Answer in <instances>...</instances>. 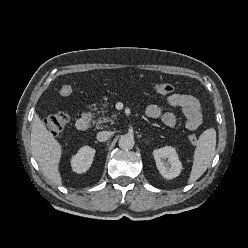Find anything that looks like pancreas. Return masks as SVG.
I'll return each mask as SVG.
<instances>
[{"instance_id":"obj_1","label":"pancreas","mask_w":248,"mask_h":248,"mask_svg":"<svg viewBox=\"0 0 248 248\" xmlns=\"http://www.w3.org/2000/svg\"><path fill=\"white\" fill-rule=\"evenodd\" d=\"M114 119H116V114H112L110 118L107 117V116H105V115H103V117L100 118V119L98 120V122L96 123V128H97V129H101V128H102V127H101V124L107 123V122H109V121H111V122L113 123V120H114Z\"/></svg>"}]
</instances>
